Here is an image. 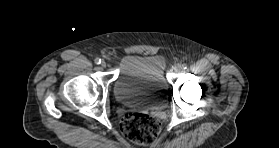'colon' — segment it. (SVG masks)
Segmentation results:
<instances>
[{"instance_id": "obj_1", "label": "colon", "mask_w": 279, "mask_h": 148, "mask_svg": "<svg viewBox=\"0 0 279 148\" xmlns=\"http://www.w3.org/2000/svg\"><path fill=\"white\" fill-rule=\"evenodd\" d=\"M120 126L130 141L140 145L153 144L161 132V124L156 117L140 112L125 114Z\"/></svg>"}]
</instances>
